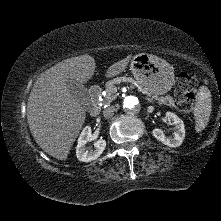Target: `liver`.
<instances>
[{
	"label": "liver",
	"instance_id": "6515ba94",
	"mask_svg": "<svg viewBox=\"0 0 221 221\" xmlns=\"http://www.w3.org/2000/svg\"><path fill=\"white\" fill-rule=\"evenodd\" d=\"M131 55L112 64L106 77L124 71ZM95 59L80 55L66 59L44 72L35 82L27 103V121L36 143L47 154L66 160L86 119V111L70 94L66 82L81 84L94 75Z\"/></svg>",
	"mask_w": 221,
	"mask_h": 221
}]
</instances>
